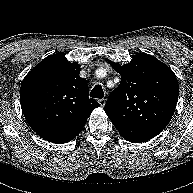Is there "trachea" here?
I'll return each instance as SVG.
<instances>
[{
  "instance_id": "obj_1",
  "label": "trachea",
  "mask_w": 193,
  "mask_h": 193,
  "mask_svg": "<svg viewBox=\"0 0 193 193\" xmlns=\"http://www.w3.org/2000/svg\"><path fill=\"white\" fill-rule=\"evenodd\" d=\"M90 97L92 98H97V99H102L104 97V91L101 85H96L91 93H90Z\"/></svg>"
}]
</instances>
